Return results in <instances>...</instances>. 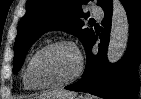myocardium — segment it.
I'll return each instance as SVG.
<instances>
[{"label":"myocardium","instance_id":"myocardium-1","mask_svg":"<svg viewBox=\"0 0 141 99\" xmlns=\"http://www.w3.org/2000/svg\"><path fill=\"white\" fill-rule=\"evenodd\" d=\"M57 47H69L75 51L77 58H78V68H77L76 72L68 79L60 81V82L41 83V82L37 81L33 76V67H34L35 62L46 51L53 49V48H57ZM83 71H84V60H83L82 54H81L80 50L78 49V47L76 46V44L73 43L72 41H68V40H59V41H55V42H52V43H49V44L43 46L32 56V58L28 64V67H27V77H28L29 82L34 87H37L39 89L59 88V87H64L66 85H69V84L73 83L74 81H76L82 75Z\"/></svg>","mask_w":141,"mask_h":99}]
</instances>
